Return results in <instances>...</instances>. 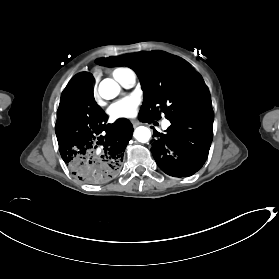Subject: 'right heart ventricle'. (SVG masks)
Masks as SVG:
<instances>
[{
	"mask_svg": "<svg viewBox=\"0 0 279 279\" xmlns=\"http://www.w3.org/2000/svg\"><path fill=\"white\" fill-rule=\"evenodd\" d=\"M129 72H133L132 70L128 69V68H116L112 71V75L114 77V79L123 86V81L124 78L126 77V75ZM134 73V72H133Z\"/></svg>",
	"mask_w": 279,
	"mask_h": 279,
	"instance_id": "1",
	"label": "right heart ventricle"
}]
</instances>
